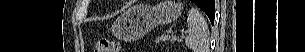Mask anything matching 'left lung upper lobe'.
<instances>
[{
  "instance_id": "5c2ea615",
  "label": "left lung upper lobe",
  "mask_w": 305,
  "mask_h": 52,
  "mask_svg": "<svg viewBox=\"0 0 305 52\" xmlns=\"http://www.w3.org/2000/svg\"><path fill=\"white\" fill-rule=\"evenodd\" d=\"M205 1L206 0H194V3L201 8L204 7Z\"/></svg>"
}]
</instances>
